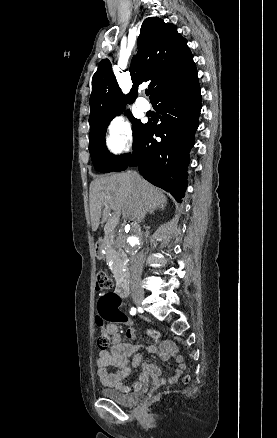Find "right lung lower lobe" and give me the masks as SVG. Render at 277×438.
I'll list each match as a JSON object with an SVG mask.
<instances>
[{
	"mask_svg": "<svg viewBox=\"0 0 277 438\" xmlns=\"http://www.w3.org/2000/svg\"><path fill=\"white\" fill-rule=\"evenodd\" d=\"M161 123L145 124L129 155L114 171L138 166L152 184L181 202L187 188L189 151L194 145L201 110L196 68L187 76L163 86L151 99ZM155 137H160L157 141Z\"/></svg>",
	"mask_w": 277,
	"mask_h": 438,
	"instance_id": "1",
	"label": "right lung lower lobe"
}]
</instances>
